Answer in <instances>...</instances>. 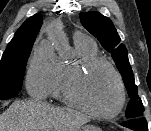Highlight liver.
Returning a JSON list of instances; mask_svg holds the SVG:
<instances>
[{"label":"liver","mask_w":151,"mask_h":131,"mask_svg":"<svg viewBox=\"0 0 151 131\" xmlns=\"http://www.w3.org/2000/svg\"><path fill=\"white\" fill-rule=\"evenodd\" d=\"M89 118L41 101H15L0 115V131H78Z\"/></svg>","instance_id":"6515ba94"}]
</instances>
